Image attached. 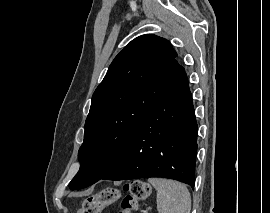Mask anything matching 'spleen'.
I'll use <instances>...</instances> for the list:
<instances>
[{
	"instance_id": "3e777b00",
	"label": "spleen",
	"mask_w": 270,
	"mask_h": 213,
	"mask_svg": "<svg viewBox=\"0 0 270 213\" xmlns=\"http://www.w3.org/2000/svg\"><path fill=\"white\" fill-rule=\"evenodd\" d=\"M157 191L158 213H190L191 197L185 185L174 180L149 178Z\"/></svg>"
}]
</instances>
